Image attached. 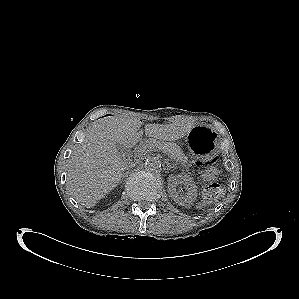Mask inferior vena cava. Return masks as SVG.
Here are the masks:
<instances>
[{
  "mask_svg": "<svg viewBox=\"0 0 299 299\" xmlns=\"http://www.w3.org/2000/svg\"><path fill=\"white\" fill-rule=\"evenodd\" d=\"M138 163V161L137 160H134V161H129L128 162V167H130V168H133V167H135L136 166V164Z\"/></svg>",
  "mask_w": 299,
  "mask_h": 299,
  "instance_id": "602c4592",
  "label": "inferior vena cava"
}]
</instances>
